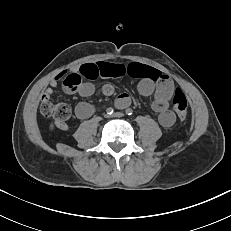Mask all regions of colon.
Wrapping results in <instances>:
<instances>
[{
  "mask_svg": "<svg viewBox=\"0 0 231 231\" xmlns=\"http://www.w3.org/2000/svg\"><path fill=\"white\" fill-rule=\"evenodd\" d=\"M153 78H157L155 73H152ZM82 76L79 73H70L63 79V87L67 92H75L81 85ZM173 107L180 121H185L187 117V99L180 89H176L173 97ZM41 113L54 121L64 122L71 116V109L68 105L59 103L54 104L50 100H42L40 105Z\"/></svg>",
  "mask_w": 231,
  "mask_h": 231,
  "instance_id": "5ec220e1",
  "label": "colon"
}]
</instances>
